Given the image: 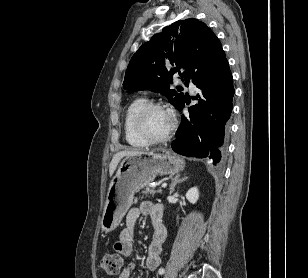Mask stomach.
<instances>
[{"instance_id": "obj_1", "label": "stomach", "mask_w": 308, "mask_h": 278, "mask_svg": "<svg viewBox=\"0 0 308 278\" xmlns=\"http://www.w3.org/2000/svg\"><path fill=\"white\" fill-rule=\"evenodd\" d=\"M185 162L170 153H143L126 156L112 178L101 219V230L113 231L133 204L134 194L151 183L157 175L183 170Z\"/></svg>"}]
</instances>
